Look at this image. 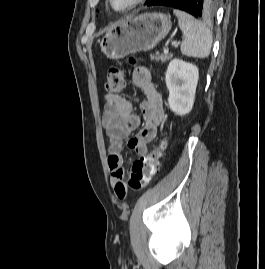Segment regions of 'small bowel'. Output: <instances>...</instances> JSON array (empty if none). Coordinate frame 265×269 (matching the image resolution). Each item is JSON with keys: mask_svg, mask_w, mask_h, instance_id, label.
Listing matches in <instances>:
<instances>
[{"mask_svg": "<svg viewBox=\"0 0 265 269\" xmlns=\"http://www.w3.org/2000/svg\"><path fill=\"white\" fill-rule=\"evenodd\" d=\"M132 76L142 95L140 106L144 127L137 135L131 136L139 127L141 119L133 112L132 101L114 94L104 96L102 125L108 139V168L115 192L118 186L125 185L122 159L124 141L135 154L147 153L149 144L164 120L162 96L154 86L150 71L144 66H138Z\"/></svg>", "mask_w": 265, "mask_h": 269, "instance_id": "obj_1", "label": "small bowel"}]
</instances>
